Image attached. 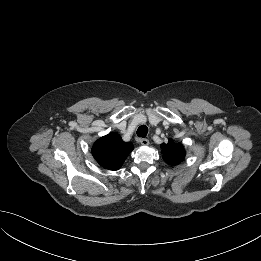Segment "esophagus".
<instances>
[{
	"mask_svg": "<svg viewBox=\"0 0 261 261\" xmlns=\"http://www.w3.org/2000/svg\"><path fill=\"white\" fill-rule=\"evenodd\" d=\"M138 142L142 145V146H148L149 145V140L146 138H141L138 140Z\"/></svg>",
	"mask_w": 261,
	"mask_h": 261,
	"instance_id": "1",
	"label": "esophagus"
}]
</instances>
